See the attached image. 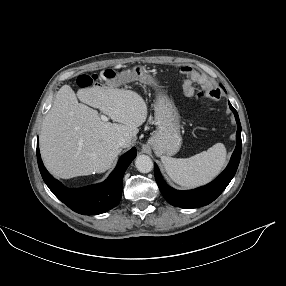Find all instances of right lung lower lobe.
Segmentation results:
<instances>
[{
	"mask_svg": "<svg viewBox=\"0 0 286 286\" xmlns=\"http://www.w3.org/2000/svg\"><path fill=\"white\" fill-rule=\"evenodd\" d=\"M136 154L135 148L125 153L119 159L115 170L103 183L71 189L63 186L49 174L42 163L37 144V161L44 182L60 201L73 211L83 215L101 214L119 203L124 173Z\"/></svg>",
	"mask_w": 286,
	"mask_h": 286,
	"instance_id": "right-lung-lower-lobe-1",
	"label": "right lung lower lobe"
}]
</instances>
